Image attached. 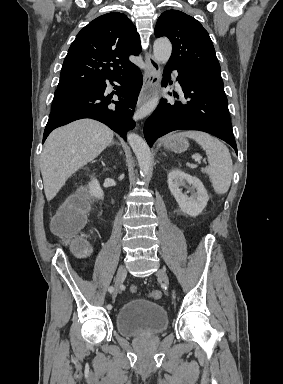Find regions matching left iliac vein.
<instances>
[{
  "mask_svg": "<svg viewBox=\"0 0 283 384\" xmlns=\"http://www.w3.org/2000/svg\"><path fill=\"white\" fill-rule=\"evenodd\" d=\"M156 275L161 279V281L166 285L168 286L169 285V278L165 272V270L163 269H159L157 272H156Z\"/></svg>",
  "mask_w": 283,
  "mask_h": 384,
  "instance_id": "4c4485c4",
  "label": "left iliac vein"
}]
</instances>
